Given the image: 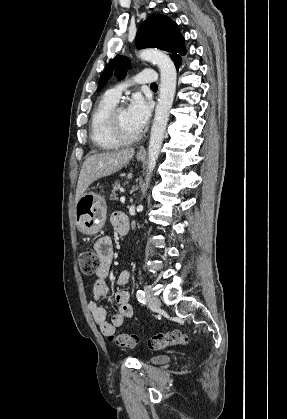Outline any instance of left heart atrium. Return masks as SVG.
I'll return each mask as SVG.
<instances>
[{
  "label": "left heart atrium",
  "instance_id": "39dd6f15",
  "mask_svg": "<svg viewBox=\"0 0 287 419\" xmlns=\"http://www.w3.org/2000/svg\"><path fill=\"white\" fill-rule=\"evenodd\" d=\"M150 103L142 95L135 94L127 108V114L132 125L141 131L150 117Z\"/></svg>",
  "mask_w": 287,
  "mask_h": 419
}]
</instances>
